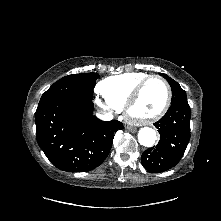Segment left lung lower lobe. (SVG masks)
I'll use <instances>...</instances> for the list:
<instances>
[{"instance_id": "left-lung-lower-lobe-1", "label": "left lung lower lobe", "mask_w": 221, "mask_h": 221, "mask_svg": "<svg viewBox=\"0 0 221 221\" xmlns=\"http://www.w3.org/2000/svg\"><path fill=\"white\" fill-rule=\"evenodd\" d=\"M191 111L188 102L175 103L154 125L160 140L156 147L144 151L143 167L151 173L164 172L181 160L190 140Z\"/></svg>"}]
</instances>
